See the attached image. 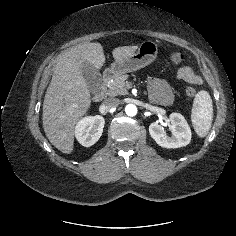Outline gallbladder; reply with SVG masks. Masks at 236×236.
Instances as JSON below:
<instances>
[{"label":"gallbladder","instance_id":"1","mask_svg":"<svg viewBox=\"0 0 236 236\" xmlns=\"http://www.w3.org/2000/svg\"><path fill=\"white\" fill-rule=\"evenodd\" d=\"M82 75L92 93L100 91L102 85V77L100 71L91 63L84 62L81 66Z\"/></svg>","mask_w":236,"mask_h":236}]
</instances>
